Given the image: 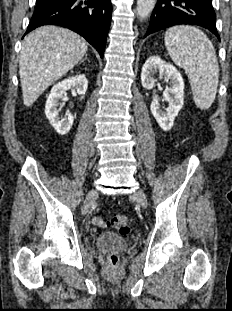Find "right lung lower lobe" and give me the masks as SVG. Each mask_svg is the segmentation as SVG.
I'll list each match as a JSON object with an SVG mask.
<instances>
[{"mask_svg": "<svg viewBox=\"0 0 232 311\" xmlns=\"http://www.w3.org/2000/svg\"><path fill=\"white\" fill-rule=\"evenodd\" d=\"M112 15L110 0H37L25 34L43 25H59L83 36L103 57Z\"/></svg>", "mask_w": 232, "mask_h": 311, "instance_id": "obj_1", "label": "right lung lower lobe"}]
</instances>
